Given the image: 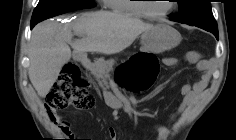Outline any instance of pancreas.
Wrapping results in <instances>:
<instances>
[{
  "label": "pancreas",
  "instance_id": "cf45deb5",
  "mask_svg": "<svg viewBox=\"0 0 236 140\" xmlns=\"http://www.w3.org/2000/svg\"><path fill=\"white\" fill-rule=\"evenodd\" d=\"M114 62L112 60H98L91 67V73L101 86L108 87L110 71Z\"/></svg>",
  "mask_w": 236,
  "mask_h": 140
}]
</instances>
